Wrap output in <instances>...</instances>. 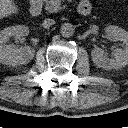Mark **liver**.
Instances as JSON below:
<instances>
[{
    "instance_id": "1",
    "label": "liver",
    "mask_w": 128,
    "mask_h": 128,
    "mask_svg": "<svg viewBox=\"0 0 128 128\" xmlns=\"http://www.w3.org/2000/svg\"><path fill=\"white\" fill-rule=\"evenodd\" d=\"M18 10L13 0H0V19L18 13Z\"/></svg>"
}]
</instances>
